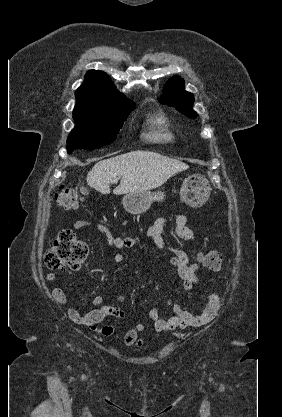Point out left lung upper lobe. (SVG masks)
<instances>
[{
  "label": "left lung upper lobe",
  "mask_w": 282,
  "mask_h": 417,
  "mask_svg": "<svg viewBox=\"0 0 282 417\" xmlns=\"http://www.w3.org/2000/svg\"><path fill=\"white\" fill-rule=\"evenodd\" d=\"M162 104L175 106V108L189 117H196V112L192 106L194 102L193 94L185 91L184 81L178 76L168 80L165 85L163 96L159 99Z\"/></svg>",
  "instance_id": "left-lung-upper-lobe-1"
}]
</instances>
